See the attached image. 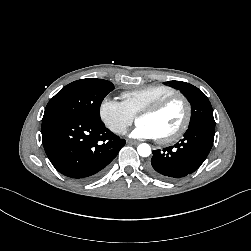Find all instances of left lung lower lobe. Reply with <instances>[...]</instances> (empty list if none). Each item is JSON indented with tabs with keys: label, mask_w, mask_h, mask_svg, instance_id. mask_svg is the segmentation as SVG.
<instances>
[{
	"label": "left lung lower lobe",
	"mask_w": 251,
	"mask_h": 251,
	"mask_svg": "<svg viewBox=\"0 0 251 251\" xmlns=\"http://www.w3.org/2000/svg\"><path fill=\"white\" fill-rule=\"evenodd\" d=\"M215 124L198 123L188 128L184 138L174 146L153 151L149 171L156 177L173 181L196 171L209 154Z\"/></svg>",
	"instance_id": "left-lung-lower-lobe-1"
}]
</instances>
